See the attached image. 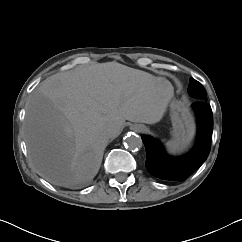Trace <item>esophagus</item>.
<instances>
[{"label": "esophagus", "mask_w": 242, "mask_h": 242, "mask_svg": "<svg viewBox=\"0 0 242 242\" xmlns=\"http://www.w3.org/2000/svg\"><path fill=\"white\" fill-rule=\"evenodd\" d=\"M133 129H135L138 132H142L144 130V127L140 126V127L137 128V127L134 126Z\"/></svg>", "instance_id": "1"}]
</instances>
